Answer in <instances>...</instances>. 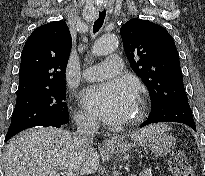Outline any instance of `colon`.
Wrapping results in <instances>:
<instances>
[{
	"mask_svg": "<svg viewBox=\"0 0 205 176\" xmlns=\"http://www.w3.org/2000/svg\"><path fill=\"white\" fill-rule=\"evenodd\" d=\"M170 169L174 176H194L193 169L181 150H175L170 157Z\"/></svg>",
	"mask_w": 205,
	"mask_h": 176,
	"instance_id": "colon-1",
	"label": "colon"
}]
</instances>
